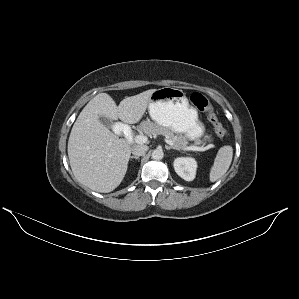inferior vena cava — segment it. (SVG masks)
I'll return each instance as SVG.
<instances>
[{
  "instance_id": "inferior-vena-cava-1",
  "label": "inferior vena cava",
  "mask_w": 299,
  "mask_h": 299,
  "mask_svg": "<svg viewBox=\"0 0 299 299\" xmlns=\"http://www.w3.org/2000/svg\"><path fill=\"white\" fill-rule=\"evenodd\" d=\"M148 150V146L146 145H136L132 148V154L135 156H142Z\"/></svg>"
}]
</instances>
